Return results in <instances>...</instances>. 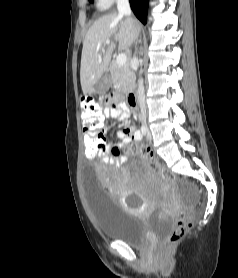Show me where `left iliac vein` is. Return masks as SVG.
<instances>
[{
    "label": "left iliac vein",
    "instance_id": "1",
    "mask_svg": "<svg viewBox=\"0 0 238 278\" xmlns=\"http://www.w3.org/2000/svg\"><path fill=\"white\" fill-rule=\"evenodd\" d=\"M147 138H148L149 140H151V133H150L149 129H147Z\"/></svg>",
    "mask_w": 238,
    "mask_h": 278
}]
</instances>
